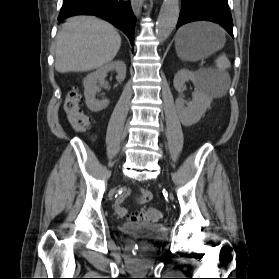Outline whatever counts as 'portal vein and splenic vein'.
Here are the masks:
<instances>
[{
	"label": "portal vein and splenic vein",
	"mask_w": 279,
	"mask_h": 279,
	"mask_svg": "<svg viewBox=\"0 0 279 279\" xmlns=\"http://www.w3.org/2000/svg\"><path fill=\"white\" fill-rule=\"evenodd\" d=\"M204 63V61L203 60H201V64H203Z\"/></svg>",
	"instance_id": "obj_1"
}]
</instances>
